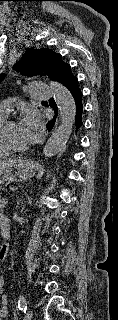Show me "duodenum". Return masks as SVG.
Listing matches in <instances>:
<instances>
[{
    "mask_svg": "<svg viewBox=\"0 0 118 320\" xmlns=\"http://www.w3.org/2000/svg\"><path fill=\"white\" fill-rule=\"evenodd\" d=\"M0 228L3 237L9 236V219L6 215L0 214Z\"/></svg>",
    "mask_w": 118,
    "mask_h": 320,
    "instance_id": "duodenum-1",
    "label": "duodenum"
}]
</instances>
